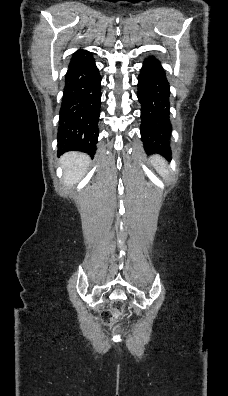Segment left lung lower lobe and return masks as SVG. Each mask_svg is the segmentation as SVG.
I'll return each instance as SVG.
<instances>
[{
	"label": "left lung lower lobe",
	"instance_id": "left-lung-lower-lobe-1",
	"mask_svg": "<svg viewBox=\"0 0 228 396\" xmlns=\"http://www.w3.org/2000/svg\"><path fill=\"white\" fill-rule=\"evenodd\" d=\"M160 61L149 57L138 76V100L141 103V139L148 154L171 158L169 119L170 88Z\"/></svg>",
	"mask_w": 228,
	"mask_h": 396
}]
</instances>
